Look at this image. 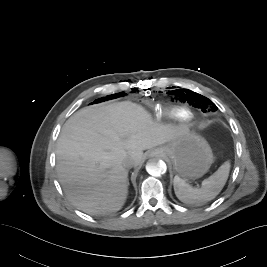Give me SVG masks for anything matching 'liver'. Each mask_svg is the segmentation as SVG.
Returning <instances> with one entry per match:
<instances>
[{
	"instance_id": "obj_1",
	"label": "liver",
	"mask_w": 267,
	"mask_h": 267,
	"mask_svg": "<svg viewBox=\"0 0 267 267\" xmlns=\"http://www.w3.org/2000/svg\"><path fill=\"white\" fill-rule=\"evenodd\" d=\"M186 126L155 122L140 105L124 101L78 110L57 141L56 170L68 199L92 215L119 211L128 195V169L144 161L143 150L176 139Z\"/></svg>"
}]
</instances>
